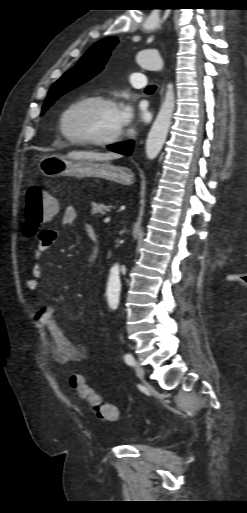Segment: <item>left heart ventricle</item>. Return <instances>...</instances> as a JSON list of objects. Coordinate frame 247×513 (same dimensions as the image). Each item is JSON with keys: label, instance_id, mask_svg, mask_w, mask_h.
<instances>
[{"label": "left heart ventricle", "instance_id": "obj_1", "mask_svg": "<svg viewBox=\"0 0 247 513\" xmlns=\"http://www.w3.org/2000/svg\"><path fill=\"white\" fill-rule=\"evenodd\" d=\"M66 130L74 136L104 138L121 129L117 106L85 103L76 106L67 116Z\"/></svg>", "mask_w": 247, "mask_h": 513}]
</instances>
